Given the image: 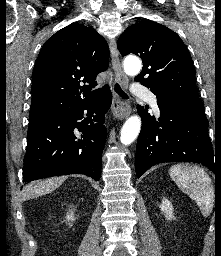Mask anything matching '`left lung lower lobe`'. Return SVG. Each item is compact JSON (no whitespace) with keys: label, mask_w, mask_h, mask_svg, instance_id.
<instances>
[{"label":"left lung lower lobe","mask_w":221,"mask_h":256,"mask_svg":"<svg viewBox=\"0 0 221 256\" xmlns=\"http://www.w3.org/2000/svg\"><path fill=\"white\" fill-rule=\"evenodd\" d=\"M156 97L161 113L158 121L138 106L142 128L135 156L137 177L163 162L201 163L216 172L203 103L194 99Z\"/></svg>","instance_id":"left-lung-lower-lobe-1"}]
</instances>
